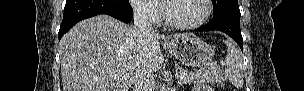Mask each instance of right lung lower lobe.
<instances>
[{
	"label": "right lung lower lobe",
	"mask_w": 304,
	"mask_h": 91,
	"mask_svg": "<svg viewBox=\"0 0 304 91\" xmlns=\"http://www.w3.org/2000/svg\"><path fill=\"white\" fill-rule=\"evenodd\" d=\"M99 14H108L122 22L132 20L130 5H117L112 0H67L58 38L68 32L77 22Z\"/></svg>",
	"instance_id": "right-lung-lower-lobe-1"
}]
</instances>
